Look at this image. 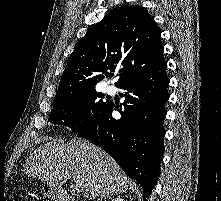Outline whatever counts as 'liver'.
Listing matches in <instances>:
<instances>
[{
    "label": "liver",
    "mask_w": 221,
    "mask_h": 201,
    "mask_svg": "<svg viewBox=\"0 0 221 201\" xmlns=\"http://www.w3.org/2000/svg\"><path fill=\"white\" fill-rule=\"evenodd\" d=\"M24 171L56 188L68 179L79 180L90 200L123 193L133 186L106 152L82 139L68 143L52 140L41 145L26 160Z\"/></svg>",
    "instance_id": "liver-1"
}]
</instances>
